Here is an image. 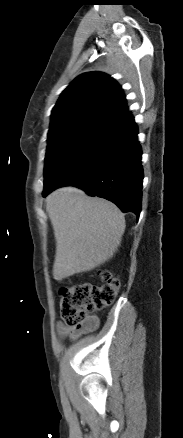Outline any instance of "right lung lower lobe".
<instances>
[{
	"label": "right lung lower lobe",
	"mask_w": 183,
	"mask_h": 438,
	"mask_svg": "<svg viewBox=\"0 0 183 438\" xmlns=\"http://www.w3.org/2000/svg\"><path fill=\"white\" fill-rule=\"evenodd\" d=\"M137 126L131 112L105 123L71 161L44 187L43 197L72 185L90 196L140 215L143 169Z\"/></svg>",
	"instance_id": "98d812e1"
}]
</instances>
